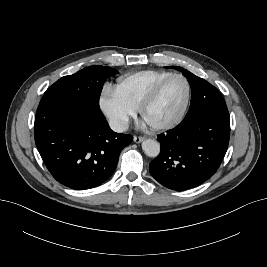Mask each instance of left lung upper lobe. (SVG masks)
Returning <instances> with one entry per match:
<instances>
[{
    "label": "left lung upper lobe",
    "mask_w": 267,
    "mask_h": 267,
    "mask_svg": "<svg viewBox=\"0 0 267 267\" xmlns=\"http://www.w3.org/2000/svg\"><path fill=\"white\" fill-rule=\"evenodd\" d=\"M182 72V74L187 78L191 88H192V98L191 103L200 101L204 98L210 101L211 110L213 112H220L227 109L226 103L218 89L211 85L206 80L199 78L187 71L186 69L178 66H169Z\"/></svg>",
    "instance_id": "5c2ea615"
}]
</instances>
